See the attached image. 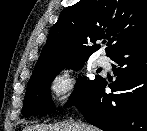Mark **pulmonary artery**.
Instances as JSON below:
<instances>
[{
    "label": "pulmonary artery",
    "mask_w": 147,
    "mask_h": 131,
    "mask_svg": "<svg viewBox=\"0 0 147 131\" xmlns=\"http://www.w3.org/2000/svg\"><path fill=\"white\" fill-rule=\"evenodd\" d=\"M108 64V59L105 56H99L96 60V65L98 67H104Z\"/></svg>",
    "instance_id": "obj_1"
}]
</instances>
